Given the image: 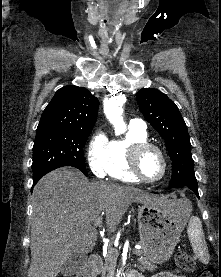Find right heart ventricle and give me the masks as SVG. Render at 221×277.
Returning <instances> with one entry per match:
<instances>
[{
    "instance_id": "right-heart-ventricle-1",
    "label": "right heart ventricle",
    "mask_w": 221,
    "mask_h": 277,
    "mask_svg": "<svg viewBox=\"0 0 221 277\" xmlns=\"http://www.w3.org/2000/svg\"><path fill=\"white\" fill-rule=\"evenodd\" d=\"M146 141H148L146 130L142 131L131 127L124 138L111 140L105 174L114 180L130 183L138 182L139 180L129 170L128 153L133 144Z\"/></svg>"
}]
</instances>
